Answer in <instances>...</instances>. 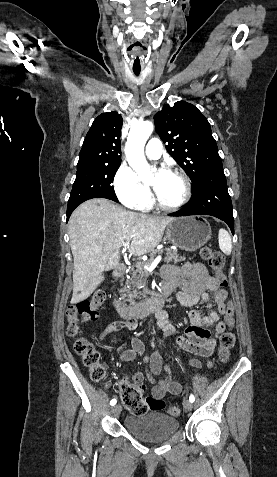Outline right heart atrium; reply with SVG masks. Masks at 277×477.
<instances>
[{"label":"right heart atrium","instance_id":"right-heart-atrium-1","mask_svg":"<svg viewBox=\"0 0 277 477\" xmlns=\"http://www.w3.org/2000/svg\"><path fill=\"white\" fill-rule=\"evenodd\" d=\"M114 189L119 201L126 207L135 210L149 208L152 196L149 188L140 182L136 173L122 164L114 176Z\"/></svg>","mask_w":277,"mask_h":477}]
</instances>
